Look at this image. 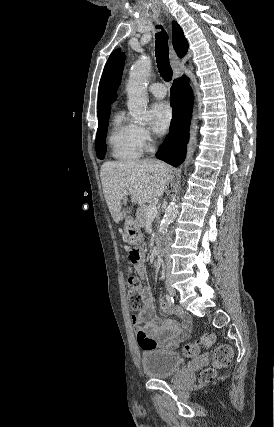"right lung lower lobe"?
<instances>
[{
    "label": "right lung lower lobe",
    "mask_w": 274,
    "mask_h": 427,
    "mask_svg": "<svg viewBox=\"0 0 274 427\" xmlns=\"http://www.w3.org/2000/svg\"><path fill=\"white\" fill-rule=\"evenodd\" d=\"M170 100L173 108L170 132L156 153V157L177 167L185 158L193 104L192 91L186 77L174 81Z\"/></svg>",
    "instance_id": "1"
}]
</instances>
